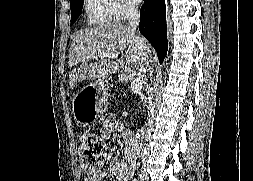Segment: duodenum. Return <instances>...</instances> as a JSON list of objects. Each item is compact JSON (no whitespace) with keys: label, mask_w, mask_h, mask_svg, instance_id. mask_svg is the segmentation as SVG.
<instances>
[{"label":"duodenum","mask_w":253,"mask_h":181,"mask_svg":"<svg viewBox=\"0 0 253 181\" xmlns=\"http://www.w3.org/2000/svg\"><path fill=\"white\" fill-rule=\"evenodd\" d=\"M145 133H146L145 130H143V131H141L140 135H141V136H144Z\"/></svg>","instance_id":"obj_1"}]
</instances>
